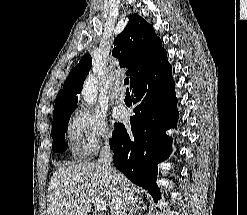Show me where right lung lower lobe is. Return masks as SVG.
Segmentation results:
<instances>
[{"label": "right lung lower lobe", "instance_id": "obj_1", "mask_svg": "<svg viewBox=\"0 0 247 215\" xmlns=\"http://www.w3.org/2000/svg\"><path fill=\"white\" fill-rule=\"evenodd\" d=\"M166 51L157 62L132 83L136 99L131 129L115 124L110 147L113 162L136 185L148 190L154 201L160 199L156 184L157 164L171 153L172 138L166 130L175 128L178 120L175 83Z\"/></svg>", "mask_w": 247, "mask_h": 215}]
</instances>
